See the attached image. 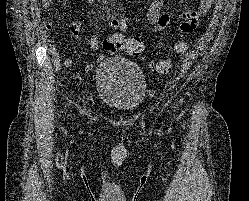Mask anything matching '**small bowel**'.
<instances>
[{
    "instance_id": "small-bowel-1",
    "label": "small bowel",
    "mask_w": 249,
    "mask_h": 201,
    "mask_svg": "<svg viewBox=\"0 0 249 201\" xmlns=\"http://www.w3.org/2000/svg\"><path fill=\"white\" fill-rule=\"evenodd\" d=\"M45 4H50L53 0H43ZM215 0H200L197 9L187 10L180 14L179 19L180 23L178 25L179 31L182 33H189L193 31L196 26L199 24L201 17L206 14L212 7ZM165 0H153L150 4L145 19L148 24L155 31H161L168 27L172 21V16L169 12L164 11ZM129 17L128 15H122L120 17H113L108 21L107 27L113 30L118 31L117 35L124 37V33L127 31V21ZM44 28L47 31H50L54 28L52 22H44ZM70 31L74 36H78L80 33V24L74 22L70 25ZM99 47V38L98 35H93L90 40V49L97 50ZM105 59L104 55H100L97 57V63H100ZM64 66L70 68L73 66V60L71 58H66L64 60ZM94 64H87L85 66V72L90 73L94 70ZM74 77L76 79L80 78L79 73H74Z\"/></svg>"
}]
</instances>
